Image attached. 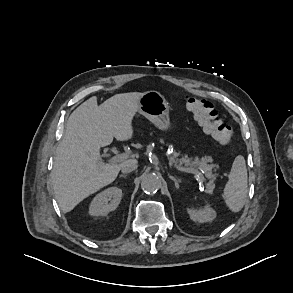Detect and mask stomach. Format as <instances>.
Here are the masks:
<instances>
[{
  "label": "stomach",
  "instance_id": "obj_1",
  "mask_svg": "<svg viewBox=\"0 0 293 293\" xmlns=\"http://www.w3.org/2000/svg\"><path fill=\"white\" fill-rule=\"evenodd\" d=\"M139 112L158 129L168 131L171 128L169 105L163 95L157 91L142 93L139 99Z\"/></svg>",
  "mask_w": 293,
  "mask_h": 293
}]
</instances>
